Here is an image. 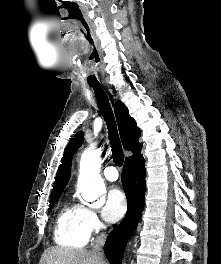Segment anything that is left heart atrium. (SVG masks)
Wrapping results in <instances>:
<instances>
[{
	"label": "left heart atrium",
	"instance_id": "39dd6f15",
	"mask_svg": "<svg viewBox=\"0 0 221 264\" xmlns=\"http://www.w3.org/2000/svg\"><path fill=\"white\" fill-rule=\"evenodd\" d=\"M127 209V202L124 193L116 187L111 188L102 208V217L109 223L120 220Z\"/></svg>",
	"mask_w": 221,
	"mask_h": 264
}]
</instances>
